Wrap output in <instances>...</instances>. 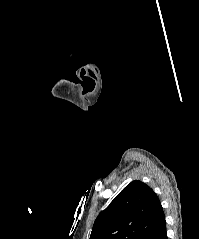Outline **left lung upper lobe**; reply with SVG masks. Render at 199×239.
I'll return each mask as SVG.
<instances>
[{"label": "left lung upper lobe", "instance_id": "5c2ea615", "mask_svg": "<svg viewBox=\"0 0 199 239\" xmlns=\"http://www.w3.org/2000/svg\"><path fill=\"white\" fill-rule=\"evenodd\" d=\"M162 214L154 191L135 180L97 216L90 239H149Z\"/></svg>", "mask_w": 199, "mask_h": 239}]
</instances>
